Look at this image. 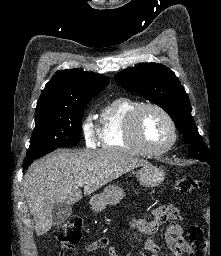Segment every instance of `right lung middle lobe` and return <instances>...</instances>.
<instances>
[{
  "label": "right lung middle lobe",
  "mask_w": 221,
  "mask_h": 256,
  "mask_svg": "<svg viewBox=\"0 0 221 256\" xmlns=\"http://www.w3.org/2000/svg\"><path fill=\"white\" fill-rule=\"evenodd\" d=\"M91 98L82 99L72 108H59L35 112L36 125L31 136L27 156L23 167L39 157L64 145H76L80 142L84 108Z\"/></svg>",
  "instance_id": "1"
}]
</instances>
